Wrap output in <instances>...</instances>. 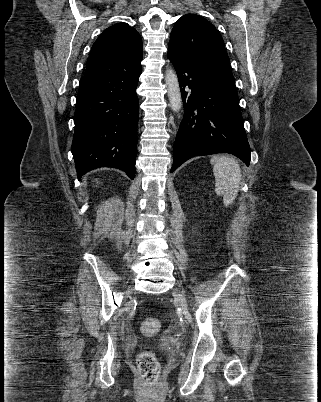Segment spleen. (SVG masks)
<instances>
[{
    "label": "spleen",
    "mask_w": 321,
    "mask_h": 402,
    "mask_svg": "<svg viewBox=\"0 0 321 402\" xmlns=\"http://www.w3.org/2000/svg\"><path fill=\"white\" fill-rule=\"evenodd\" d=\"M210 163L213 165L215 176V191L218 196H223V203L229 206L237 197L241 170L238 162L230 156H214Z\"/></svg>",
    "instance_id": "obj_1"
}]
</instances>
